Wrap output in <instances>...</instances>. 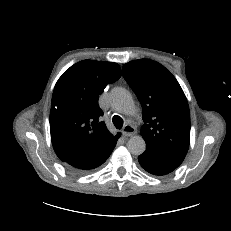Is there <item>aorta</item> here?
<instances>
[{"label":"aorta","mask_w":231,"mask_h":231,"mask_svg":"<svg viewBox=\"0 0 231 231\" xmlns=\"http://www.w3.org/2000/svg\"><path fill=\"white\" fill-rule=\"evenodd\" d=\"M111 105L119 113L131 115L134 113L135 105L132 95L124 88L113 89L111 96ZM129 152L133 155H141L146 149L145 140L137 135L129 139L127 143Z\"/></svg>","instance_id":"762f6f07"}]
</instances>
